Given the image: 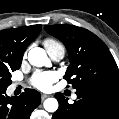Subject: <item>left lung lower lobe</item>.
I'll return each instance as SVG.
<instances>
[{"instance_id": "obj_1", "label": "left lung lower lobe", "mask_w": 119, "mask_h": 119, "mask_svg": "<svg viewBox=\"0 0 119 119\" xmlns=\"http://www.w3.org/2000/svg\"><path fill=\"white\" fill-rule=\"evenodd\" d=\"M73 104L56 93L58 110L52 119H119V91L109 89L77 90Z\"/></svg>"}]
</instances>
